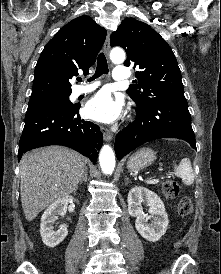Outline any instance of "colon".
<instances>
[{
    "label": "colon",
    "instance_id": "colon-1",
    "mask_svg": "<svg viewBox=\"0 0 221 274\" xmlns=\"http://www.w3.org/2000/svg\"><path fill=\"white\" fill-rule=\"evenodd\" d=\"M162 193L166 199L175 200L179 195V186L173 180H165L162 184ZM192 210V201L188 197H183L178 201L177 211L179 216L188 217Z\"/></svg>",
    "mask_w": 221,
    "mask_h": 274
}]
</instances>
